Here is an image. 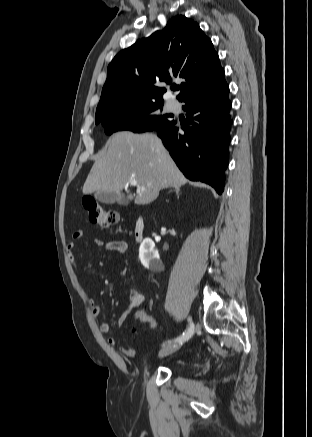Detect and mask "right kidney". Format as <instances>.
<instances>
[{
    "label": "right kidney",
    "mask_w": 312,
    "mask_h": 437,
    "mask_svg": "<svg viewBox=\"0 0 312 437\" xmlns=\"http://www.w3.org/2000/svg\"><path fill=\"white\" fill-rule=\"evenodd\" d=\"M154 247L155 243L150 238H145L139 248V258L144 267L159 270L162 268V262Z\"/></svg>",
    "instance_id": "right-kidney-1"
}]
</instances>
